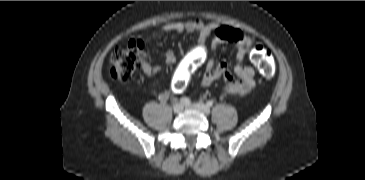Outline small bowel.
I'll return each mask as SVG.
<instances>
[{"instance_id": "small-bowel-1", "label": "small bowel", "mask_w": 365, "mask_h": 180, "mask_svg": "<svg viewBox=\"0 0 365 180\" xmlns=\"http://www.w3.org/2000/svg\"><path fill=\"white\" fill-rule=\"evenodd\" d=\"M184 31L195 33L197 41L178 67L173 77L174 85L177 81H184V78L195 68L202 67L201 84L204 87L223 80L225 82L224 92L235 97L244 96L253 89L255 71L253 67L244 64L245 57L256 43L253 36L242 33L239 29L229 25L191 20L166 24L159 31L149 34L147 39L160 38L169 32L181 33ZM210 35H213V41L209 51L207 38ZM220 44H228L235 50V64L232 69L225 61H217L214 58V52ZM163 59L167 65H173L177 58L175 53L169 50L164 53ZM144 71L149 76H155L161 69L158 66L145 64ZM159 98L161 101H167L169 93L163 92Z\"/></svg>"}]
</instances>
